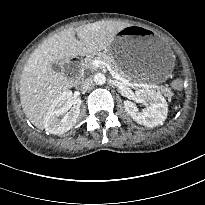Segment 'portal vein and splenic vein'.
<instances>
[{"label": "portal vein and splenic vein", "mask_w": 205, "mask_h": 205, "mask_svg": "<svg viewBox=\"0 0 205 205\" xmlns=\"http://www.w3.org/2000/svg\"><path fill=\"white\" fill-rule=\"evenodd\" d=\"M101 64L103 65H106L107 69L111 72V75L113 76V78L115 79H120V76L118 74H115L111 69H110V66L108 64H105L104 62L98 60V59H95L93 61V66L98 68Z\"/></svg>", "instance_id": "18ae733b"}]
</instances>
